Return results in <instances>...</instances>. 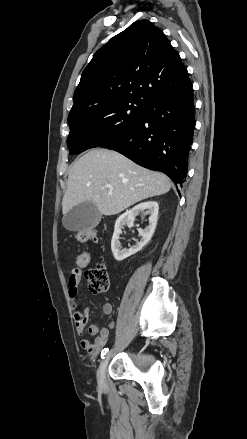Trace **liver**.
<instances>
[{"mask_svg": "<svg viewBox=\"0 0 247 439\" xmlns=\"http://www.w3.org/2000/svg\"><path fill=\"white\" fill-rule=\"evenodd\" d=\"M108 183L112 190L105 187ZM169 178L143 168L124 155L108 149H92L71 167L62 199L65 215L89 201L103 215H115L144 199L167 193Z\"/></svg>", "mask_w": 247, "mask_h": 439, "instance_id": "obj_1", "label": "liver"}]
</instances>
